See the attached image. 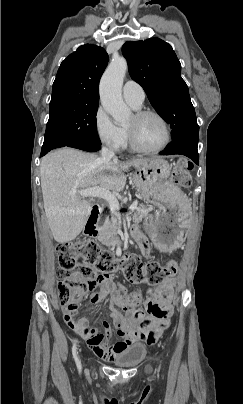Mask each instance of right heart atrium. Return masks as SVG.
Returning <instances> with one entry per match:
<instances>
[{
  "label": "right heart atrium",
  "instance_id": "1",
  "mask_svg": "<svg viewBox=\"0 0 243 404\" xmlns=\"http://www.w3.org/2000/svg\"><path fill=\"white\" fill-rule=\"evenodd\" d=\"M93 126L99 143L114 151L123 149L125 135L123 129L118 127L105 108L99 104L93 114Z\"/></svg>",
  "mask_w": 243,
  "mask_h": 404
}]
</instances>
